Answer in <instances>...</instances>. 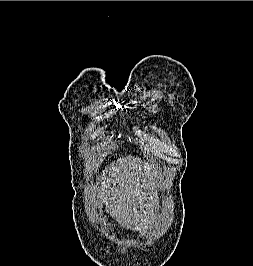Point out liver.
I'll return each mask as SVG.
<instances>
[{
	"instance_id": "liver-1",
	"label": "liver",
	"mask_w": 253,
	"mask_h": 266,
	"mask_svg": "<svg viewBox=\"0 0 253 266\" xmlns=\"http://www.w3.org/2000/svg\"><path fill=\"white\" fill-rule=\"evenodd\" d=\"M118 162L109 178H101L97 196L106 203L121 227L141 231L146 221V215L142 212L146 208L147 196L151 194L150 191L143 192V189L150 190L149 185H140L141 167L138 159L127 157Z\"/></svg>"
}]
</instances>
